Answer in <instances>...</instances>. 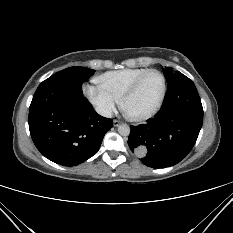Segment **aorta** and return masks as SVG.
<instances>
[{"mask_svg": "<svg viewBox=\"0 0 233 233\" xmlns=\"http://www.w3.org/2000/svg\"><path fill=\"white\" fill-rule=\"evenodd\" d=\"M118 132L122 136H128L130 134V127L127 124H122L118 127Z\"/></svg>", "mask_w": 233, "mask_h": 233, "instance_id": "762f6f07", "label": "aorta"}]
</instances>
